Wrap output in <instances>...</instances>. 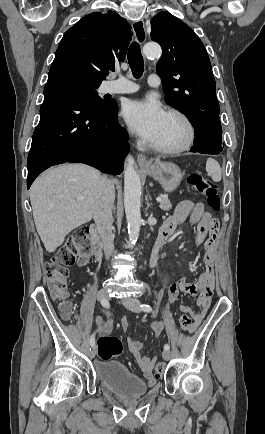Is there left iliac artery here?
Here are the masks:
<instances>
[{
    "instance_id": "left-iliac-artery-1",
    "label": "left iliac artery",
    "mask_w": 265,
    "mask_h": 434,
    "mask_svg": "<svg viewBox=\"0 0 265 434\" xmlns=\"http://www.w3.org/2000/svg\"><path fill=\"white\" fill-rule=\"evenodd\" d=\"M140 307H141V309H142L143 311H146V312H151V311H152V308H151L150 305L142 304V305H140ZM164 349H165V350H169V349H170V345H169V344H165V345H164Z\"/></svg>"
}]
</instances>
